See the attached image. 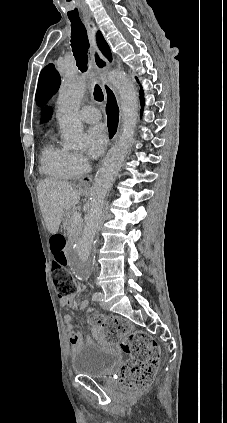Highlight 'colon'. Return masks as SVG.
<instances>
[{
	"label": "colon",
	"mask_w": 227,
	"mask_h": 423,
	"mask_svg": "<svg viewBox=\"0 0 227 423\" xmlns=\"http://www.w3.org/2000/svg\"><path fill=\"white\" fill-rule=\"evenodd\" d=\"M50 244L57 292L60 297L72 296L76 293L77 286L67 269L66 239L62 234H55L51 237ZM92 323L107 328L111 337L122 339V349L129 355L120 370V380L125 390L137 393L149 387L160 361L156 341L143 331L132 330L127 322L116 317L103 319L94 316Z\"/></svg>",
	"instance_id": "5ec220e1"
}]
</instances>
